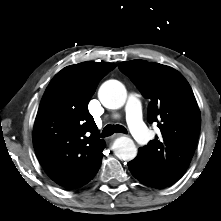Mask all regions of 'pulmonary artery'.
<instances>
[{
	"label": "pulmonary artery",
	"instance_id": "obj_1",
	"mask_svg": "<svg viewBox=\"0 0 221 221\" xmlns=\"http://www.w3.org/2000/svg\"><path fill=\"white\" fill-rule=\"evenodd\" d=\"M126 112L131 134L140 144H146L150 138V132L143 124L141 118V103L134 94H130L128 97Z\"/></svg>",
	"mask_w": 221,
	"mask_h": 221
}]
</instances>
